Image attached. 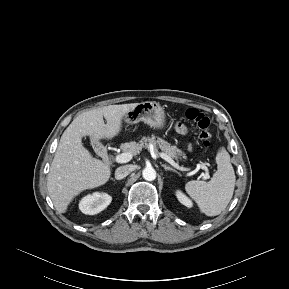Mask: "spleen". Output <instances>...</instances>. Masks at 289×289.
<instances>
[{
    "mask_svg": "<svg viewBox=\"0 0 289 289\" xmlns=\"http://www.w3.org/2000/svg\"><path fill=\"white\" fill-rule=\"evenodd\" d=\"M216 163L217 171L209 182L192 180L185 185L187 194L207 216H217L225 210L235 187L234 169L230 163V155L224 147L219 149Z\"/></svg>",
    "mask_w": 289,
    "mask_h": 289,
    "instance_id": "3e777b00",
    "label": "spleen"
}]
</instances>
